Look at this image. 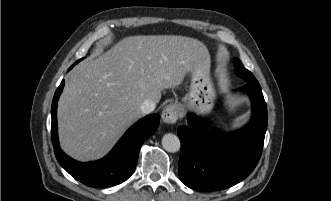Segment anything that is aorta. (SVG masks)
<instances>
[{"label":"aorta","instance_id":"1","mask_svg":"<svg viewBox=\"0 0 331 201\" xmlns=\"http://www.w3.org/2000/svg\"><path fill=\"white\" fill-rule=\"evenodd\" d=\"M162 146L167 152H177L180 149L179 138L171 133L165 134L162 138Z\"/></svg>","mask_w":331,"mask_h":201}]
</instances>
